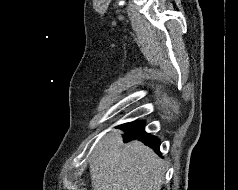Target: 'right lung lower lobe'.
<instances>
[{
  "label": "right lung lower lobe",
  "instance_id": "right-lung-lower-lobe-1",
  "mask_svg": "<svg viewBox=\"0 0 238 190\" xmlns=\"http://www.w3.org/2000/svg\"><path fill=\"white\" fill-rule=\"evenodd\" d=\"M144 127H145L144 121H133L130 123L120 125L118 128L122 129L125 132L124 138L125 143L131 140L138 139L142 141L144 144L151 147L156 153L160 155L159 139L145 132Z\"/></svg>",
  "mask_w": 238,
  "mask_h": 190
}]
</instances>
